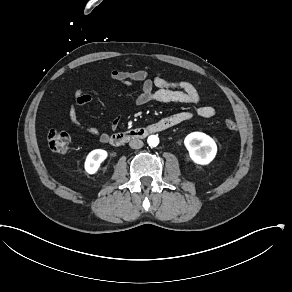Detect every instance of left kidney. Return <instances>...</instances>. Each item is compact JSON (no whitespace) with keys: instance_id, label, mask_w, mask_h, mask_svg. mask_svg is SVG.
<instances>
[{"instance_id":"1","label":"left kidney","mask_w":292,"mask_h":292,"mask_svg":"<svg viewBox=\"0 0 292 292\" xmlns=\"http://www.w3.org/2000/svg\"><path fill=\"white\" fill-rule=\"evenodd\" d=\"M184 145L191 161L200 166L209 165L218 152L215 140L203 132L188 134L184 138Z\"/></svg>"}]
</instances>
